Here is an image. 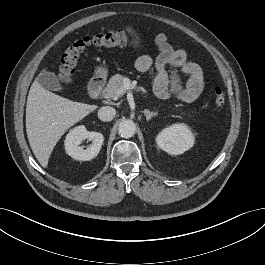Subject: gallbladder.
I'll use <instances>...</instances> for the list:
<instances>
[{
	"label": "gallbladder",
	"instance_id": "gallbladder-1",
	"mask_svg": "<svg viewBox=\"0 0 265 265\" xmlns=\"http://www.w3.org/2000/svg\"><path fill=\"white\" fill-rule=\"evenodd\" d=\"M38 82L42 87L51 91L60 92L63 90L58 77L52 72H44L40 74L38 76Z\"/></svg>",
	"mask_w": 265,
	"mask_h": 265
}]
</instances>
